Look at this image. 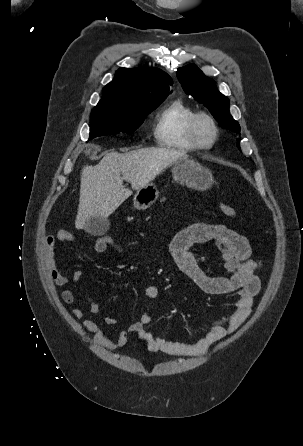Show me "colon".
<instances>
[{
  "instance_id": "5ec220e1",
  "label": "colon",
  "mask_w": 303,
  "mask_h": 446,
  "mask_svg": "<svg viewBox=\"0 0 303 446\" xmlns=\"http://www.w3.org/2000/svg\"><path fill=\"white\" fill-rule=\"evenodd\" d=\"M220 209H221L222 213L225 214V215L228 216V217H234V216H236V210H235V208L232 207V206H230V205H228V204L222 203V204L220 205ZM104 237H105V243H106V244H109L110 241L113 240V239L110 238V237H107V236H104Z\"/></svg>"
}]
</instances>
